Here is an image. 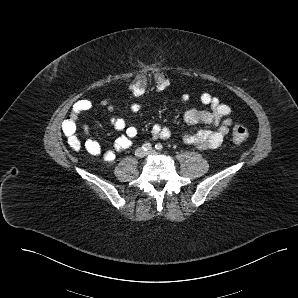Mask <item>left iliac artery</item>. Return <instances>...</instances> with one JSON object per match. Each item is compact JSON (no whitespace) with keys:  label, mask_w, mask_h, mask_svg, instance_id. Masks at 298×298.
<instances>
[{"label":"left iliac artery","mask_w":298,"mask_h":298,"mask_svg":"<svg viewBox=\"0 0 298 298\" xmlns=\"http://www.w3.org/2000/svg\"><path fill=\"white\" fill-rule=\"evenodd\" d=\"M155 148H156L158 151H161L162 148H163V146H162L161 143H157V144L155 145Z\"/></svg>","instance_id":"44dca946"}]
</instances>
